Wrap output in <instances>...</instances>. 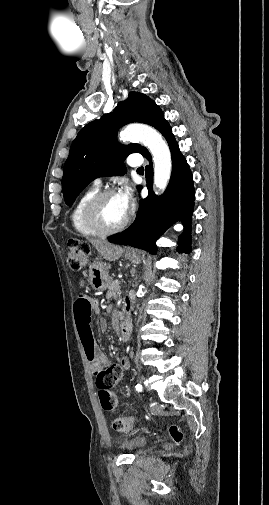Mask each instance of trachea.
<instances>
[{"instance_id": "1", "label": "trachea", "mask_w": 269, "mask_h": 505, "mask_svg": "<svg viewBox=\"0 0 269 505\" xmlns=\"http://www.w3.org/2000/svg\"><path fill=\"white\" fill-rule=\"evenodd\" d=\"M137 171L142 172V171H144V168L140 167V168L137 169Z\"/></svg>"}]
</instances>
